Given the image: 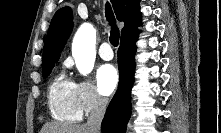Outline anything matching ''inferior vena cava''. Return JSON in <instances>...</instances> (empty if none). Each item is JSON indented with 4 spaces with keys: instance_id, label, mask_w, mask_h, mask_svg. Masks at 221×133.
Returning a JSON list of instances; mask_svg holds the SVG:
<instances>
[{
    "instance_id": "602c4592",
    "label": "inferior vena cava",
    "mask_w": 221,
    "mask_h": 133,
    "mask_svg": "<svg viewBox=\"0 0 221 133\" xmlns=\"http://www.w3.org/2000/svg\"><path fill=\"white\" fill-rule=\"evenodd\" d=\"M107 100L100 95H95L93 98L91 112L88 116L86 127L90 133H100L101 121L103 119Z\"/></svg>"
}]
</instances>
